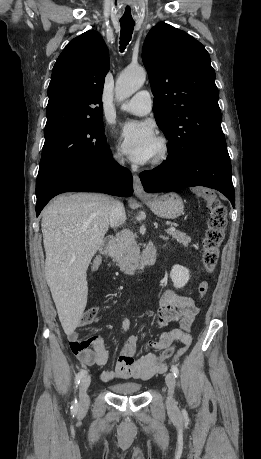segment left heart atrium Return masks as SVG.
Listing matches in <instances>:
<instances>
[{"mask_svg":"<svg viewBox=\"0 0 261 459\" xmlns=\"http://www.w3.org/2000/svg\"><path fill=\"white\" fill-rule=\"evenodd\" d=\"M122 147L131 161L143 164L153 156L157 138L148 122L130 121L121 130Z\"/></svg>","mask_w":261,"mask_h":459,"instance_id":"left-heart-atrium-1","label":"left heart atrium"}]
</instances>
